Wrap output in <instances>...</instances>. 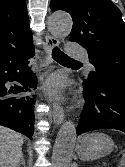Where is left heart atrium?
Wrapping results in <instances>:
<instances>
[{"instance_id": "1", "label": "left heart atrium", "mask_w": 125, "mask_h": 167, "mask_svg": "<svg viewBox=\"0 0 125 167\" xmlns=\"http://www.w3.org/2000/svg\"><path fill=\"white\" fill-rule=\"evenodd\" d=\"M64 83L59 77H52L46 83V90L49 94L56 98H61L63 95Z\"/></svg>"}]
</instances>
